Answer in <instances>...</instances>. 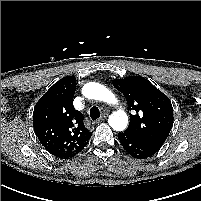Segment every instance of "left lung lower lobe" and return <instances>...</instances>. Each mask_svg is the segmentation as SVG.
<instances>
[{
	"instance_id": "obj_1",
	"label": "left lung lower lobe",
	"mask_w": 201,
	"mask_h": 201,
	"mask_svg": "<svg viewBox=\"0 0 201 201\" xmlns=\"http://www.w3.org/2000/svg\"><path fill=\"white\" fill-rule=\"evenodd\" d=\"M118 138L123 148L134 158L145 159L151 157L158 150L152 148L144 141L140 140L136 135L129 131L118 133Z\"/></svg>"
}]
</instances>
